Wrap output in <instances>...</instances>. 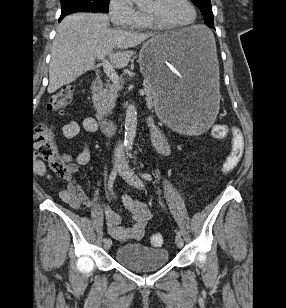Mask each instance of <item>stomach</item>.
I'll use <instances>...</instances> for the list:
<instances>
[{
  "label": "stomach",
  "mask_w": 286,
  "mask_h": 308,
  "mask_svg": "<svg viewBox=\"0 0 286 308\" xmlns=\"http://www.w3.org/2000/svg\"><path fill=\"white\" fill-rule=\"evenodd\" d=\"M140 70L154 90L151 101L166 125H182V132H198L212 125L218 107V60L209 29L194 25L178 36L157 35L139 53Z\"/></svg>",
  "instance_id": "stomach-1"
}]
</instances>
